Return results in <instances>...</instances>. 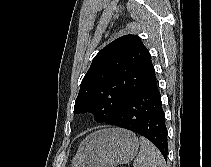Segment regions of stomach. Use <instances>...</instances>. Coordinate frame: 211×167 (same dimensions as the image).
Segmentation results:
<instances>
[{
	"label": "stomach",
	"mask_w": 211,
	"mask_h": 167,
	"mask_svg": "<svg viewBox=\"0 0 211 167\" xmlns=\"http://www.w3.org/2000/svg\"><path fill=\"white\" fill-rule=\"evenodd\" d=\"M139 149L137 136L128 130H98L80 144L71 167H116L133 160Z\"/></svg>",
	"instance_id": "0dacf381"
}]
</instances>
